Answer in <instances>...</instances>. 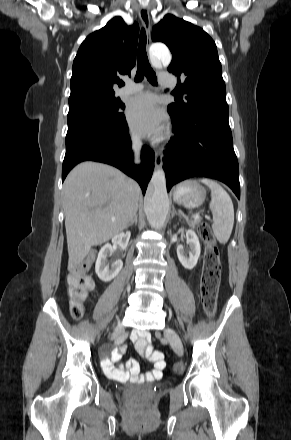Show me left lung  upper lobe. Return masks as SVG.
I'll list each match as a JSON object with an SVG mask.
<instances>
[{
	"instance_id": "obj_1",
	"label": "left lung upper lobe",
	"mask_w": 291,
	"mask_h": 440,
	"mask_svg": "<svg viewBox=\"0 0 291 440\" xmlns=\"http://www.w3.org/2000/svg\"><path fill=\"white\" fill-rule=\"evenodd\" d=\"M152 40L169 47L172 62L168 71L183 80L179 90L186 97L168 106L172 117L183 120L198 111L228 112L217 47L203 29L167 14L153 27Z\"/></svg>"
}]
</instances>
